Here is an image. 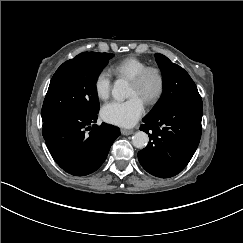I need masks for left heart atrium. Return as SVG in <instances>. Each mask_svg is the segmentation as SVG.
Segmentation results:
<instances>
[{
  "mask_svg": "<svg viewBox=\"0 0 243 243\" xmlns=\"http://www.w3.org/2000/svg\"><path fill=\"white\" fill-rule=\"evenodd\" d=\"M145 112V101L138 95L127 100H111L101 108L102 119L118 126H131Z\"/></svg>",
  "mask_w": 243,
  "mask_h": 243,
  "instance_id": "left-heart-atrium-1",
  "label": "left heart atrium"
}]
</instances>
